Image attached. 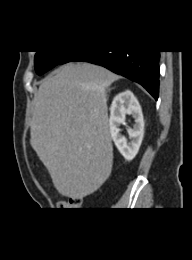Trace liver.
<instances>
[{
	"instance_id": "liver-1",
	"label": "liver",
	"mask_w": 192,
	"mask_h": 260,
	"mask_svg": "<svg viewBox=\"0 0 192 260\" xmlns=\"http://www.w3.org/2000/svg\"><path fill=\"white\" fill-rule=\"evenodd\" d=\"M118 78L98 65L68 63L44 79L34 97L30 144L63 196L86 197L110 176L106 88Z\"/></svg>"
}]
</instances>
